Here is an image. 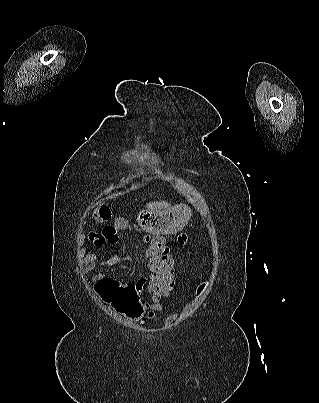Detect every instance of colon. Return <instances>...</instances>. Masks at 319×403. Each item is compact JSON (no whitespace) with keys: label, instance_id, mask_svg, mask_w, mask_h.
<instances>
[{"label":"colon","instance_id":"1","mask_svg":"<svg viewBox=\"0 0 319 403\" xmlns=\"http://www.w3.org/2000/svg\"><path fill=\"white\" fill-rule=\"evenodd\" d=\"M109 211L110 207L103 204L95 210L94 216L103 222L107 220ZM166 240V234L140 235L135 240L136 249L147 254L148 268L151 270L148 271L146 291H149L157 304H166L170 300L172 287H176L175 271L172 270L176 267V260L170 259V252H162L166 247ZM198 288L200 292L206 288L204 277L198 278Z\"/></svg>","mask_w":319,"mask_h":403}]
</instances>
